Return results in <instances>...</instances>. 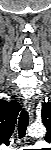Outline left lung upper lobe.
<instances>
[{"label": "left lung upper lobe", "instance_id": "1", "mask_svg": "<svg viewBox=\"0 0 51 150\" xmlns=\"http://www.w3.org/2000/svg\"><path fill=\"white\" fill-rule=\"evenodd\" d=\"M42 122L47 128L46 141L51 139V103H43L42 105Z\"/></svg>", "mask_w": 51, "mask_h": 150}]
</instances>
